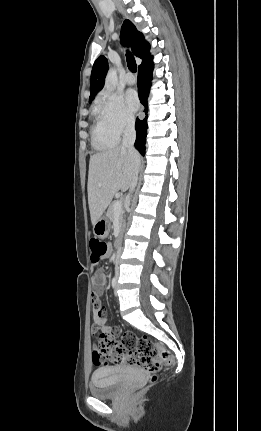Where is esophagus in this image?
<instances>
[{
    "label": "esophagus",
    "instance_id": "obj_1",
    "mask_svg": "<svg viewBox=\"0 0 261 431\" xmlns=\"http://www.w3.org/2000/svg\"><path fill=\"white\" fill-rule=\"evenodd\" d=\"M143 117H144V112H143V109H141L139 112V118L142 119Z\"/></svg>",
    "mask_w": 261,
    "mask_h": 431
}]
</instances>
